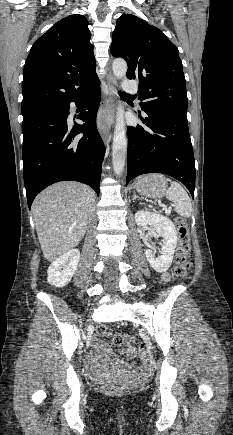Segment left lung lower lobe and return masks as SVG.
Listing matches in <instances>:
<instances>
[{"label":"left lung lower lobe","instance_id":"1","mask_svg":"<svg viewBox=\"0 0 233 435\" xmlns=\"http://www.w3.org/2000/svg\"><path fill=\"white\" fill-rule=\"evenodd\" d=\"M148 129L128 127L126 185L146 173H163L182 182L194 197L195 164L187 116L146 112Z\"/></svg>","mask_w":233,"mask_h":435}]
</instances>
